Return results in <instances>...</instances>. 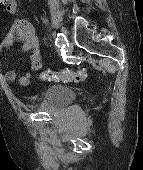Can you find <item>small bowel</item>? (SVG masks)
I'll return each instance as SVG.
<instances>
[{
  "mask_svg": "<svg viewBox=\"0 0 143 170\" xmlns=\"http://www.w3.org/2000/svg\"><path fill=\"white\" fill-rule=\"evenodd\" d=\"M4 9L9 14H14L17 11L16 0H6L5 4H2ZM15 42H21V49L23 52L28 53L31 66L30 71L21 76L19 82L22 85L23 79L27 80L29 84L32 74L41 68V49L40 43L36 36L34 26L28 19H16L0 42V52L3 49L9 48ZM4 78L8 82H14L16 80V73L14 71H7L4 73ZM22 85V86H26Z\"/></svg>",
  "mask_w": 143,
  "mask_h": 170,
  "instance_id": "small-bowel-1",
  "label": "small bowel"
}]
</instances>
